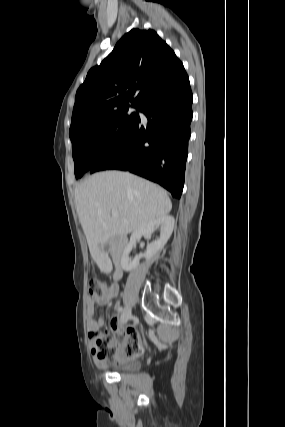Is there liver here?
Instances as JSON below:
<instances>
[{
	"label": "liver",
	"instance_id": "6515ba94",
	"mask_svg": "<svg viewBox=\"0 0 285 427\" xmlns=\"http://www.w3.org/2000/svg\"><path fill=\"white\" fill-rule=\"evenodd\" d=\"M75 202L91 256L99 265L109 261L100 246L110 238L124 237L172 209L165 190L120 171L100 172L84 179L75 188ZM112 211L118 216L113 217Z\"/></svg>",
	"mask_w": 285,
	"mask_h": 427
}]
</instances>
